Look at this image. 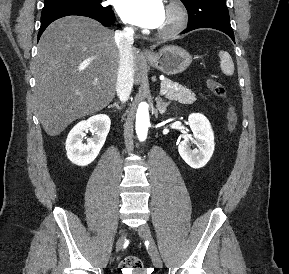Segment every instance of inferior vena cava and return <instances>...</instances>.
<instances>
[{"instance_id": "obj_1", "label": "inferior vena cava", "mask_w": 289, "mask_h": 274, "mask_svg": "<svg viewBox=\"0 0 289 274\" xmlns=\"http://www.w3.org/2000/svg\"><path fill=\"white\" fill-rule=\"evenodd\" d=\"M134 30L126 27L116 31L114 39L119 49V69L116 82V92L121 102H126L133 87V54Z\"/></svg>"}]
</instances>
